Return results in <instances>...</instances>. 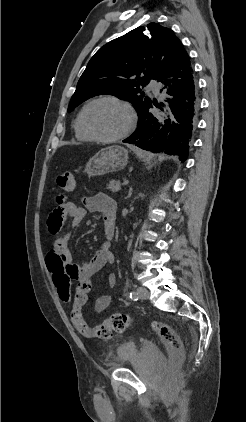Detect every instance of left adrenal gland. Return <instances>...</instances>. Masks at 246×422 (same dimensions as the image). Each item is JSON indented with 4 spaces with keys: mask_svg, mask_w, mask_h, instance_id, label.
<instances>
[{
    "mask_svg": "<svg viewBox=\"0 0 246 422\" xmlns=\"http://www.w3.org/2000/svg\"><path fill=\"white\" fill-rule=\"evenodd\" d=\"M132 192H133V188H132V187H130V189H129V193H128V195H127L126 199H127V198H129V197L132 195Z\"/></svg>",
    "mask_w": 246,
    "mask_h": 422,
    "instance_id": "obj_1",
    "label": "left adrenal gland"
}]
</instances>
